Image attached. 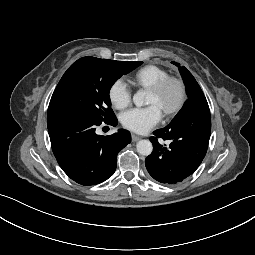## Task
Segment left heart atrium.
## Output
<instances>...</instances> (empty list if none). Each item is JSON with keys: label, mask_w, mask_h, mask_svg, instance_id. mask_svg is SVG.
<instances>
[{"label": "left heart atrium", "mask_w": 255, "mask_h": 255, "mask_svg": "<svg viewBox=\"0 0 255 255\" xmlns=\"http://www.w3.org/2000/svg\"><path fill=\"white\" fill-rule=\"evenodd\" d=\"M162 119V110L155 104L144 108H132L121 115L122 125L136 133H146Z\"/></svg>", "instance_id": "obj_1"}]
</instances>
